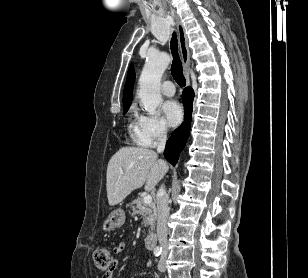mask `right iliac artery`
<instances>
[{"mask_svg":"<svg viewBox=\"0 0 308 278\" xmlns=\"http://www.w3.org/2000/svg\"><path fill=\"white\" fill-rule=\"evenodd\" d=\"M161 252H162V248L161 247H156L154 249V255L155 256H159L161 254Z\"/></svg>","mask_w":308,"mask_h":278,"instance_id":"right-iliac-artery-1","label":"right iliac artery"}]
</instances>
